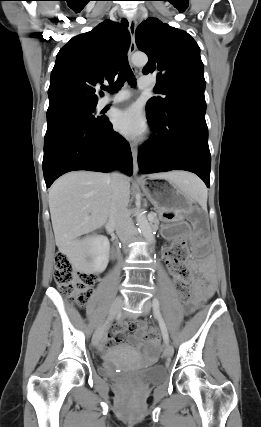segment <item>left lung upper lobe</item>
<instances>
[{
	"label": "left lung upper lobe",
	"mask_w": 261,
	"mask_h": 427,
	"mask_svg": "<svg viewBox=\"0 0 261 427\" xmlns=\"http://www.w3.org/2000/svg\"><path fill=\"white\" fill-rule=\"evenodd\" d=\"M135 39L138 49L149 57L143 73L157 74L156 92L164 95L151 98L147 110L162 115L178 101L206 103L200 48L187 32L148 18L136 29Z\"/></svg>",
	"instance_id": "5c2ea615"
}]
</instances>
